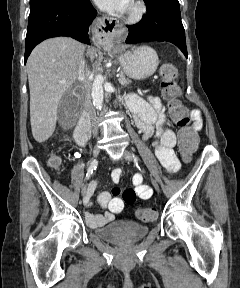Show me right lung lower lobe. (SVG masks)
Instances as JSON below:
<instances>
[{
    "mask_svg": "<svg viewBox=\"0 0 240 288\" xmlns=\"http://www.w3.org/2000/svg\"><path fill=\"white\" fill-rule=\"evenodd\" d=\"M97 12L90 0H53L30 12L25 41V62L43 40L67 36L90 44L88 28Z\"/></svg>",
    "mask_w": 240,
    "mask_h": 288,
    "instance_id": "right-lung-lower-lobe-1",
    "label": "right lung lower lobe"
}]
</instances>
